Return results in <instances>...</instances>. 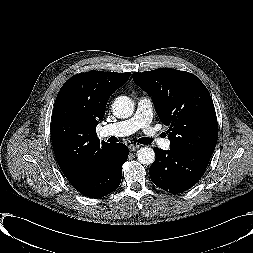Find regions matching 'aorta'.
<instances>
[{"mask_svg":"<svg viewBox=\"0 0 253 253\" xmlns=\"http://www.w3.org/2000/svg\"><path fill=\"white\" fill-rule=\"evenodd\" d=\"M112 110L117 118L125 119L132 116L134 103L127 96H119L114 100ZM137 159L141 164L151 165L155 161V152L150 147H141L137 151Z\"/></svg>","mask_w":253,"mask_h":253,"instance_id":"aorta-1","label":"aorta"}]
</instances>
